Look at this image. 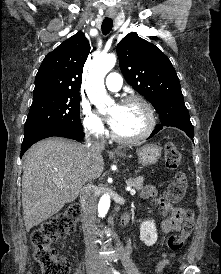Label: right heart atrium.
Segmentation results:
<instances>
[{"label": "right heart atrium", "instance_id": "1", "mask_svg": "<svg viewBox=\"0 0 221 274\" xmlns=\"http://www.w3.org/2000/svg\"><path fill=\"white\" fill-rule=\"evenodd\" d=\"M81 117L84 132L93 138L100 139L105 134V127L101 118L96 115L89 104L83 103L81 106Z\"/></svg>", "mask_w": 221, "mask_h": 274}]
</instances>
